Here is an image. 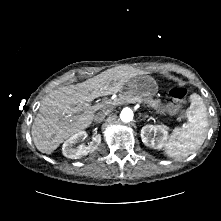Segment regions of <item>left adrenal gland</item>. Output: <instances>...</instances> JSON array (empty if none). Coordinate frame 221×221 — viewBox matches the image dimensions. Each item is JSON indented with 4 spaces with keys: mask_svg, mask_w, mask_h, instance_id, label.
Returning a JSON list of instances; mask_svg holds the SVG:
<instances>
[{
    "mask_svg": "<svg viewBox=\"0 0 221 221\" xmlns=\"http://www.w3.org/2000/svg\"><path fill=\"white\" fill-rule=\"evenodd\" d=\"M148 117H149L148 115H145V116H144V118H148Z\"/></svg>",
    "mask_w": 221,
    "mask_h": 221,
    "instance_id": "obj_1",
    "label": "left adrenal gland"
}]
</instances>
